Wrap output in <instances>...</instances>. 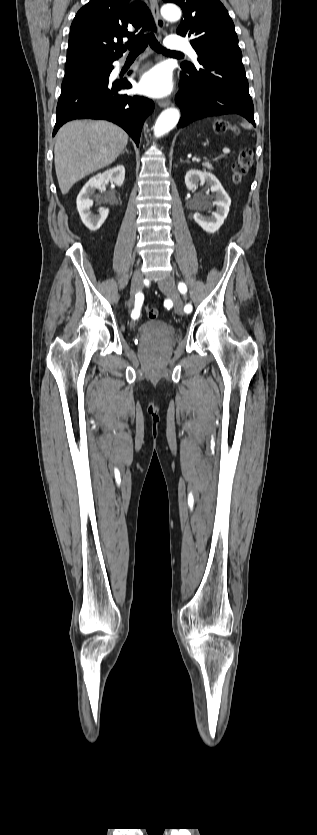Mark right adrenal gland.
Returning <instances> with one entry per match:
<instances>
[{
	"label": "right adrenal gland",
	"instance_id": "obj_1",
	"mask_svg": "<svg viewBox=\"0 0 317 835\" xmlns=\"http://www.w3.org/2000/svg\"><path fill=\"white\" fill-rule=\"evenodd\" d=\"M125 152H127V153H128V149H127V148H126V149H125V150L121 153V155H123Z\"/></svg>",
	"mask_w": 317,
	"mask_h": 835
}]
</instances>
